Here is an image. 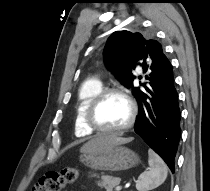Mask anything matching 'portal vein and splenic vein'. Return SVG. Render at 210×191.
Instances as JSON below:
<instances>
[{"label":"portal vein and splenic vein","mask_w":210,"mask_h":191,"mask_svg":"<svg viewBox=\"0 0 210 191\" xmlns=\"http://www.w3.org/2000/svg\"><path fill=\"white\" fill-rule=\"evenodd\" d=\"M121 189H122L121 186H117V187H116V191H120Z\"/></svg>","instance_id":"18ae733b"}]
</instances>
